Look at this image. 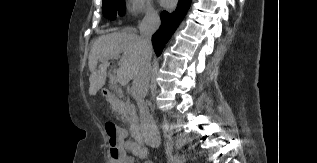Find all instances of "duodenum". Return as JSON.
<instances>
[{
  "instance_id": "410a0bca",
  "label": "duodenum",
  "mask_w": 317,
  "mask_h": 163,
  "mask_svg": "<svg viewBox=\"0 0 317 163\" xmlns=\"http://www.w3.org/2000/svg\"><path fill=\"white\" fill-rule=\"evenodd\" d=\"M102 94L104 95V97L109 100V101H113L116 99V94L108 89H104L102 91ZM130 132L136 142V144L142 148H145V138L143 136L141 127L139 124L137 123H131L130 125Z\"/></svg>"
}]
</instances>
